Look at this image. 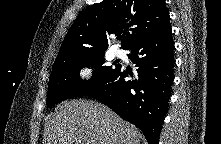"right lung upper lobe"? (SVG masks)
<instances>
[{
    "instance_id": "cb5924a9",
    "label": "right lung upper lobe",
    "mask_w": 221,
    "mask_h": 144,
    "mask_svg": "<svg viewBox=\"0 0 221 144\" xmlns=\"http://www.w3.org/2000/svg\"><path fill=\"white\" fill-rule=\"evenodd\" d=\"M169 24L165 0H103L82 11L70 27L53 67L104 53L111 34L124 32L122 48Z\"/></svg>"
}]
</instances>
